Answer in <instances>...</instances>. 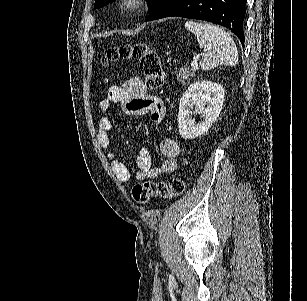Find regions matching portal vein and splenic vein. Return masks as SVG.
I'll return each instance as SVG.
<instances>
[{"label": "portal vein and splenic vein", "mask_w": 307, "mask_h": 301, "mask_svg": "<svg viewBox=\"0 0 307 301\" xmlns=\"http://www.w3.org/2000/svg\"><path fill=\"white\" fill-rule=\"evenodd\" d=\"M196 68H198V62H197V60H192L191 70H196Z\"/></svg>", "instance_id": "18ae733b"}]
</instances>
